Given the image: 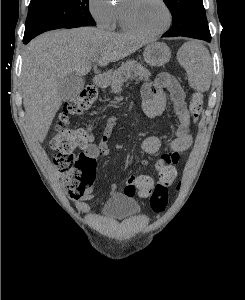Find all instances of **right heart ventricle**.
I'll return each mask as SVG.
<instances>
[{
  "label": "right heart ventricle",
  "mask_w": 245,
  "mask_h": 300,
  "mask_svg": "<svg viewBox=\"0 0 245 300\" xmlns=\"http://www.w3.org/2000/svg\"><path fill=\"white\" fill-rule=\"evenodd\" d=\"M116 21L118 22V24L120 25V27H121L123 30L130 31V30L127 29V28L125 27V25L123 24L122 16H121V7H117Z\"/></svg>",
  "instance_id": "e07e8e85"
}]
</instances>
